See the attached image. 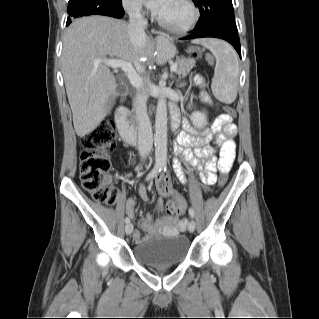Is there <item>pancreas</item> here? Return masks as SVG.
Listing matches in <instances>:
<instances>
[{
    "mask_svg": "<svg viewBox=\"0 0 319 319\" xmlns=\"http://www.w3.org/2000/svg\"><path fill=\"white\" fill-rule=\"evenodd\" d=\"M195 66V61L193 59H180L177 62L176 74L179 78L185 77L191 69Z\"/></svg>",
    "mask_w": 319,
    "mask_h": 319,
    "instance_id": "obj_1",
    "label": "pancreas"
}]
</instances>
